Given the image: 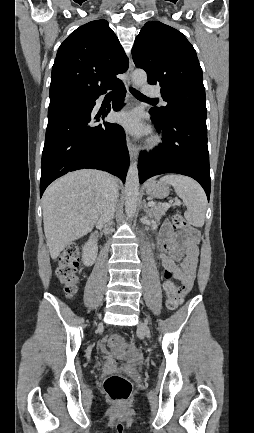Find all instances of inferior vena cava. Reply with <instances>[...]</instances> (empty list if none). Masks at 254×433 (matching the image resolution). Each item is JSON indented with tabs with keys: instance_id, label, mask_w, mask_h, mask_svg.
Masks as SVG:
<instances>
[{
	"instance_id": "obj_1",
	"label": "inferior vena cava",
	"mask_w": 254,
	"mask_h": 433,
	"mask_svg": "<svg viewBox=\"0 0 254 433\" xmlns=\"http://www.w3.org/2000/svg\"><path fill=\"white\" fill-rule=\"evenodd\" d=\"M106 176H107V193H106L103 212L100 219L105 223H109L114 216L115 206L118 201V185L114 177H112L109 174H106ZM105 233L106 234L109 233L108 228H105Z\"/></svg>"
}]
</instances>
